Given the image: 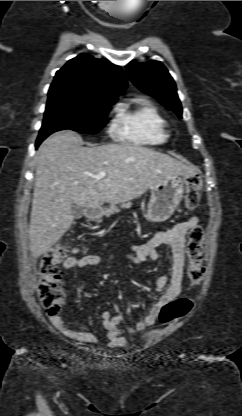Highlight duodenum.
Instances as JSON below:
<instances>
[{
	"instance_id": "1",
	"label": "duodenum",
	"mask_w": 242,
	"mask_h": 416,
	"mask_svg": "<svg viewBox=\"0 0 242 416\" xmlns=\"http://www.w3.org/2000/svg\"><path fill=\"white\" fill-rule=\"evenodd\" d=\"M101 211V207H90L87 209V217H96Z\"/></svg>"
}]
</instances>
